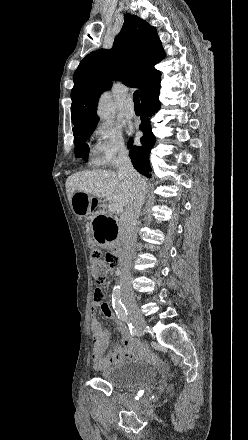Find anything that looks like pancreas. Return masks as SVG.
<instances>
[{"instance_id": "obj_1", "label": "pancreas", "mask_w": 248, "mask_h": 440, "mask_svg": "<svg viewBox=\"0 0 248 440\" xmlns=\"http://www.w3.org/2000/svg\"><path fill=\"white\" fill-rule=\"evenodd\" d=\"M102 213H104V214H107V215H109V216H111L112 215V213L111 212H109L108 210H106V209H103L102 210Z\"/></svg>"}]
</instances>
